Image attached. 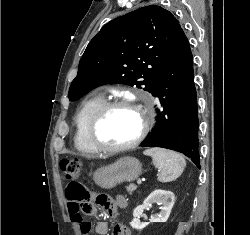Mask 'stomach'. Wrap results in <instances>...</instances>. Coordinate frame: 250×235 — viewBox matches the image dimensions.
I'll return each instance as SVG.
<instances>
[{
	"label": "stomach",
	"mask_w": 250,
	"mask_h": 235,
	"mask_svg": "<svg viewBox=\"0 0 250 235\" xmlns=\"http://www.w3.org/2000/svg\"><path fill=\"white\" fill-rule=\"evenodd\" d=\"M142 173V164L131 156H125L111 165L96 170L94 182L104 189H112L123 182H132Z\"/></svg>",
	"instance_id": "1"
}]
</instances>
